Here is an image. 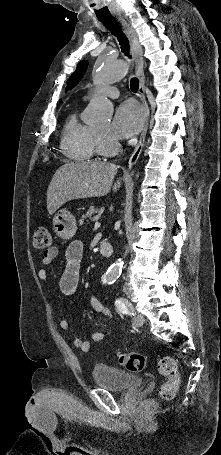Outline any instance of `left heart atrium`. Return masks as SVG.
<instances>
[{
    "mask_svg": "<svg viewBox=\"0 0 221 455\" xmlns=\"http://www.w3.org/2000/svg\"><path fill=\"white\" fill-rule=\"evenodd\" d=\"M142 109L134 102L127 101L115 111L109 134L115 139H125L136 135L143 124Z\"/></svg>",
    "mask_w": 221,
    "mask_h": 455,
    "instance_id": "1",
    "label": "left heart atrium"
}]
</instances>
